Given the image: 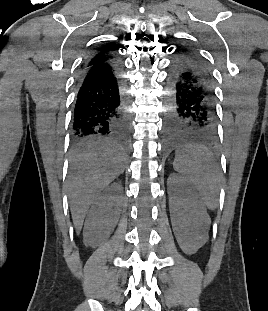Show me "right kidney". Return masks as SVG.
I'll list each match as a JSON object with an SVG mask.
<instances>
[{
	"label": "right kidney",
	"instance_id": "1",
	"mask_svg": "<svg viewBox=\"0 0 268 311\" xmlns=\"http://www.w3.org/2000/svg\"><path fill=\"white\" fill-rule=\"evenodd\" d=\"M123 203V187L113 183L93 202L84 224L83 241L91 247L99 246L113 232Z\"/></svg>",
	"mask_w": 268,
	"mask_h": 311
}]
</instances>
